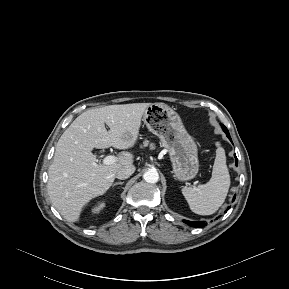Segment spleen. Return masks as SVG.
<instances>
[{
	"instance_id": "spleen-1",
	"label": "spleen",
	"mask_w": 289,
	"mask_h": 289,
	"mask_svg": "<svg viewBox=\"0 0 289 289\" xmlns=\"http://www.w3.org/2000/svg\"><path fill=\"white\" fill-rule=\"evenodd\" d=\"M230 187V175L226 165L225 151L216 150L212 177L206 184L182 188V194L190 209L199 215H211L224 203Z\"/></svg>"
}]
</instances>
